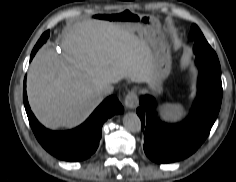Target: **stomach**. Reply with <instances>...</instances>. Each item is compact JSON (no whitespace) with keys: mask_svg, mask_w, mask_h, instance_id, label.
I'll use <instances>...</instances> for the list:
<instances>
[{"mask_svg":"<svg viewBox=\"0 0 236 182\" xmlns=\"http://www.w3.org/2000/svg\"><path fill=\"white\" fill-rule=\"evenodd\" d=\"M90 19L95 24L104 26L128 28L131 32H137L154 46V71L152 78L147 82L148 89L154 94H160L164 80L168 77L172 68L170 45L166 39L159 20L152 15L139 14L131 10L122 12L95 11Z\"/></svg>","mask_w":236,"mask_h":182,"instance_id":"obj_1","label":"stomach"}]
</instances>
